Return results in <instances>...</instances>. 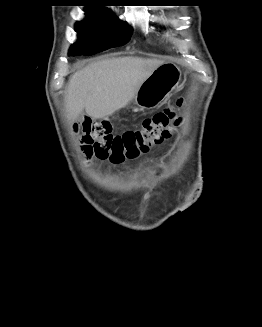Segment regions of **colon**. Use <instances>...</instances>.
<instances>
[{"label":"colon","instance_id":"colon-1","mask_svg":"<svg viewBox=\"0 0 262 327\" xmlns=\"http://www.w3.org/2000/svg\"><path fill=\"white\" fill-rule=\"evenodd\" d=\"M182 106L183 100L179 99L175 105L144 119L139 129L120 134L112 132L108 120L86 118L80 124L81 149L87 156L109 159L112 163L133 159L171 137L180 121Z\"/></svg>","mask_w":262,"mask_h":327}]
</instances>
